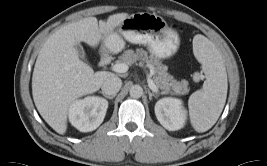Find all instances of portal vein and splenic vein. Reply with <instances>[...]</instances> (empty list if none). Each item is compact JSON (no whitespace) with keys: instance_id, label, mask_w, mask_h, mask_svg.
<instances>
[{"instance_id":"obj_1","label":"portal vein and splenic vein","mask_w":267,"mask_h":166,"mask_svg":"<svg viewBox=\"0 0 267 166\" xmlns=\"http://www.w3.org/2000/svg\"><path fill=\"white\" fill-rule=\"evenodd\" d=\"M128 69H129V67H128V65L126 63H116V64H114L112 66V70L117 72V73H125V72L128 71ZM147 82H148L149 88L152 91H154V92H158L159 91L157 86L155 85V83L153 82V80L150 77H148Z\"/></svg>"}]
</instances>
